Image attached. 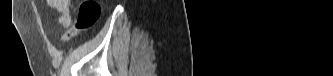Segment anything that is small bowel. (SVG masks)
<instances>
[{
	"label": "small bowel",
	"instance_id": "c3829d8e",
	"mask_svg": "<svg viewBox=\"0 0 333 76\" xmlns=\"http://www.w3.org/2000/svg\"><path fill=\"white\" fill-rule=\"evenodd\" d=\"M70 0H47L46 6L58 14L57 22L64 28H69L72 24L70 13Z\"/></svg>",
	"mask_w": 333,
	"mask_h": 76
}]
</instances>
